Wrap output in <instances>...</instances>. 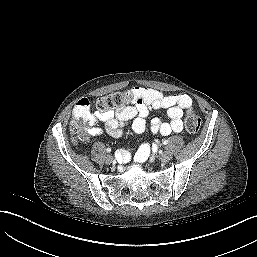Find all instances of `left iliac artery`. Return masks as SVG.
I'll list each match as a JSON object with an SVG mask.
<instances>
[{"label": "left iliac artery", "instance_id": "44dca946", "mask_svg": "<svg viewBox=\"0 0 257 257\" xmlns=\"http://www.w3.org/2000/svg\"><path fill=\"white\" fill-rule=\"evenodd\" d=\"M168 143H169L168 140H164V141H163V145H167Z\"/></svg>", "mask_w": 257, "mask_h": 257}]
</instances>
